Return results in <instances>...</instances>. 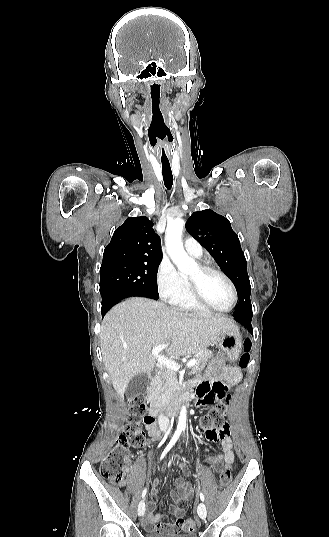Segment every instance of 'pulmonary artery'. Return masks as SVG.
<instances>
[{"mask_svg": "<svg viewBox=\"0 0 329 537\" xmlns=\"http://www.w3.org/2000/svg\"><path fill=\"white\" fill-rule=\"evenodd\" d=\"M184 248L189 254L195 257H200L202 255V247L194 238H187L184 241Z\"/></svg>", "mask_w": 329, "mask_h": 537, "instance_id": "e3ab8cb5", "label": "pulmonary artery"}]
</instances>
